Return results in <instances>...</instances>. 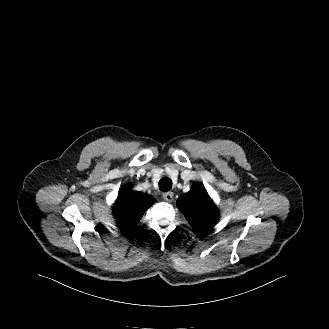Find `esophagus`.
<instances>
[{
	"label": "esophagus",
	"instance_id": "esophagus-1",
	"mask_svg": "<svg viewBox=\"0 0 329 329\" xmlns=\"http://www.w3.org/2000/svg\"><path fill=\"white\" fill-rule=\"evenodd\" d=\"M173 197H174V194L171 191L163 193V198L167 202H172L173 201Z\"/></svg>",
	"mask_w": 329,
	"mask_h": 329
}]
</instances>
